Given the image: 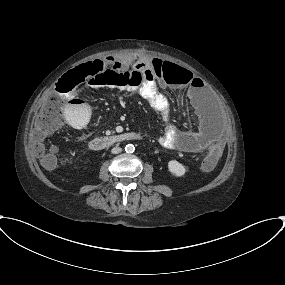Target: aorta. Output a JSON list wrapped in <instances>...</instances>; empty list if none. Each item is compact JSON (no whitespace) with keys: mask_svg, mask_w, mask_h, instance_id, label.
<instances>
[{"mask_svg":"<svg viewBox=\"0 0 285 285\" xmlns=\"http://www.w3.org/2000/svg\"><path fill=\"white\" fill-rule=\"evenodd\" d=\"M125 151L127 153H133L135 151V146L133 144H127L125 146Z\"/></svg>","mask_w":285,"mask_h":285,"instance_id":"1","label":"aorta"}]
</instances>
